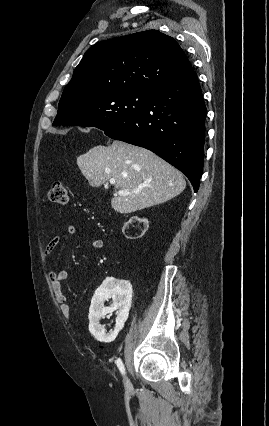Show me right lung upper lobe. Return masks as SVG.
Wrapping results in <instances>:
<instances>
[{"label": "right lung upper lobe", "mask_w": 269, "mask_h": 426, "mask_svg": "<svg viewBox=\"0 0 269 426\" xmlns=\"http://www.w3.org/2000/svg\"><path fill=\"white\" fill-rule=\"evenodd\" d=\"M192 71L187 56L172 37L157 30L137 32L88 49L61 98L151 92Z\"/></svg>", "instance_id": "cb5924a9"}]
</instances>
